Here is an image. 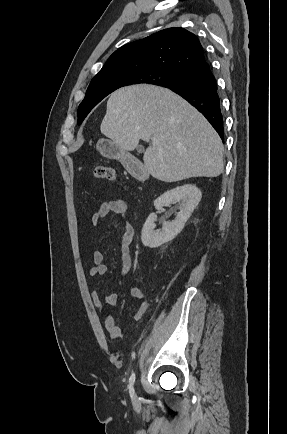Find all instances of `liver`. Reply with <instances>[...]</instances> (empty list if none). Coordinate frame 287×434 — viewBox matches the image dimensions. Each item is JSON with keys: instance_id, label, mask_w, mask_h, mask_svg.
I'll use <instances>...</instances> for the list:
<instances>
[{"instance_id": "1", "label": "liver", "mask_w": 287, "mask_h": 434, "mask_svg": "<svg viewBox=\"0 0 287 434\" xmlns=\"http://www.w3.org/2000/svg\"><path fill=\"white\" fill-rule=\"evenodd\" d=\"M100 130L127 151L134 150L140 139H151L143 161L160 181L217 177L224 169L217 132L186 100L165 88L136 85L113 92Z\"/></svg>"}]
</instances>
